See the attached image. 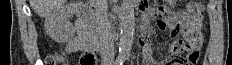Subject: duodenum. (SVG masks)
<instances>
[{"mask_svg":"<svg viewBox=\"0 0 232 65\" xmlns=\"http://www.w3.org/2000/svg\"><path fill=\"white\" fill-rule=\"evenodd\" d=\"M78 20L76 23L79 33L87 40V47L89 51H95L98 48V39L94 24L93 13L90 10L79 7L77 9ZM143 29L146 28L142 21Z\"/></svg>","mask_w":232,"mask_h":65,"instance_id":"duodenum-1","label":"duodenum"}]
</instances>
